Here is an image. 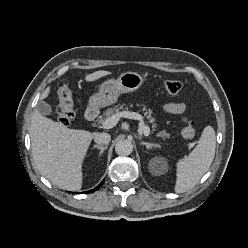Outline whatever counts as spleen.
I'll list each match as a JSON object with an SVG mask.
<instances>
[{
  "mask_svg": "<svg viewBox=\"0 0 248 248\" xmlns=\"http://www.w3.org/2000/svg\"><path fill=\"white\" fill-rule=\"evenodd\" d=\"M215 147V131L211 126H206L195 149L177 162L176 193H184L199 182L213 162Z\"/></svg>",
  "mask_w": 248,
  "mask_h": 248,
  "instance_id": "obj_1",
  "label": "spleen"
}]
</instances>
